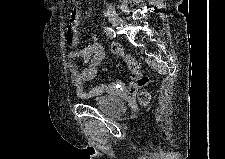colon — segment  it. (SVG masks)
Here are the masks:
<instances>
[{
  "mask_svg": "<svg viewBox=\"0 0 225 159\" xmlns=\"http://www.w3.org/2000/svg\"><path fill=\"white\" fill-rule=\"evenodd\" d=\"M120 55H122L123 59L125 60L132 76L140 81H143L145 77L142 75V70L139 62L123 50L120 52ZM139 99L142 103H146L148 101V94L146 92H142Z\"/></svg>",
  "mask_w": 225,
  "mask_h": 159,
  "instance_id": "1",
  "label": "colon"
}]
</instances>
